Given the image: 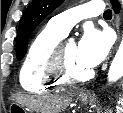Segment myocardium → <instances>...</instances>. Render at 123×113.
<instances>
[{
	"instance_id": "myocardium-1",
	"label": "myocardium",
	"mask_w": 123,
	"mask_h": 113,
	"mask_svg": "<svg viewBox=\"0 0 123 113\" xmlns=\"http://www.w3.org/2000/svg\"><path fill=\"white\" fill-rule=\"evenodd\" d=\"M66 41H60L54 49L53 55L48 64L49 72L57 77L63 84L83 83L91 79L94 75L92 70H89L84 75H75L69 69L65 59Z\"/></svg>"
}]
</instances>
